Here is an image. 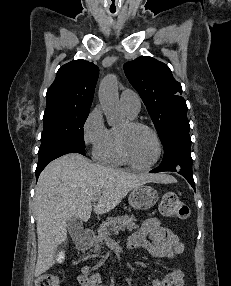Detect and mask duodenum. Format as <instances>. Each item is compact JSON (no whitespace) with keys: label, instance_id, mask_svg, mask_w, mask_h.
I'll return each instance as SVG.
<instances>
[{"label":"duodenum","instance_id":"1","mask_svg":"<svg viewBox=\"0 0 231 286\" xmlns=\"http://www.w3.org/2000/svg\"><path fill=\"white\" fill-rule=\"evenodd\" d=\"M94 241V234L91 231L85 232L76 241V247L80 251L87 250L91 247Z\"/></svg>","mask_w":231,"mask_h":286}]
</instances>
